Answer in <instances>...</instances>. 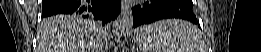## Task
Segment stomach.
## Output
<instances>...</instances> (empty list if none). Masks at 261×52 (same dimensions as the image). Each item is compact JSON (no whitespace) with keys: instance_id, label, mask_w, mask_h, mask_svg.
<instances>
[{"instance_id":"obj_1","label":"stomach","mask_w":261,"mask_h":52,"mask_svg":"<svg viewBox=\"0 0 261 52\" xmlns=\"http://www.w3.org/2000/svg\"><path fill=\"white\" fill-rule=\"evenodd\" d=\"M140 31H141L140 29L137 31L136 37H135V39H134V41H135L137 44H139V43L142 41V35H141V32H140Z\"/></svg>"}]
</instances>
